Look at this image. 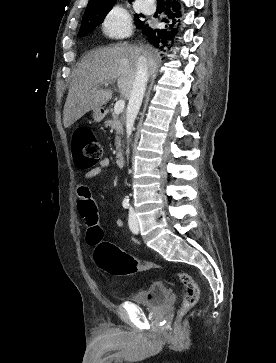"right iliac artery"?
Listing matches in <instances>:
<instances>
[{
  "instance_id": "82829eb1",
  "label": "right iliac artery",
  "mask_w": 276,
  "mask_h": 363,
  "mask_svg": "<svg viewBox=\"0 0 276 363\" xmlns=\"http://www.w3.org/2000/svg\"><path fill=\"white\" fill-rule=\"evenodd\" d=\"M123 207L125 209H128L130 207V202H129V199H125L122 203Z\"/></svg>"
}]
</instances>
